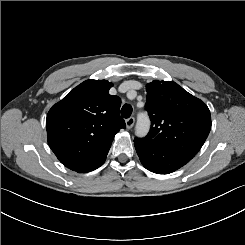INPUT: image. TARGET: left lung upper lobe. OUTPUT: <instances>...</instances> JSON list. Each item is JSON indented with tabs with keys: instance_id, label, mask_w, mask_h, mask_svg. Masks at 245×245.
Here are the masks:
<instances>
[{
	"instance_id": "1",
	"label": "left lung upper lobe",
	"mask_w": 245,
	"mask_h": 245,
	"mask_svg": "<svg viewBox=\"0 0 245 245\" xmlns=\"http://www.w3.org/2000/svg\"><path fill=\"white\" fill-rule=\"evenodd\" d=\"M145 109L151 129L135 140L172 151L190 161L203 146L211 129L207 105L177 83L155 80L146 86Z\"/></svg>"
}]
</instances>
